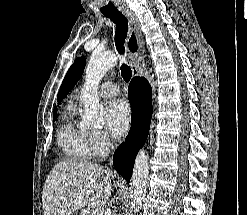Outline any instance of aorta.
<instances>
[{"mask_svg":"<svg viewBox=\"0 0 247 215\" xmlns=\"http://www.w3.org/2000/svg\"><path fill=\"white\" fill-rule=\"evenodd\" d=\"M117 57L111 52H94L88 62L85 84L80 99L84 104L82 124L87 128H101L104 124L103 105L99 101L98 86L105 73L116 64ZM149 174L148 154L141 149L135 159L130 182V211L128 215L139 213L146 195Z\"/></svg>","mask_w":247,"mask_h":215,"instance_id":"aorta-1","label":"aorta"}]
</instances>
